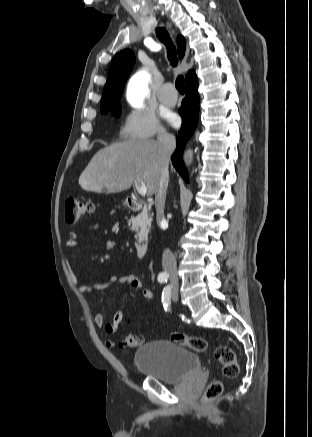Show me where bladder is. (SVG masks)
Instances as JSON below:
<instances>
[{
    "label": "bladder",
    "instance_id": "obj_1",
    "mask_svg": "<svg viewBox=\"0 0 312 437\" xmlns=\"http://www.w3.org/2000/svg\"><path fill=\"white\" fill-rule=\"evenodd\" d=\"M134 364L144 375L168 384L181 383L202 371L196 353L169 340L150 341L138 348Z\"/></svg>",
    "mask_w": 312,
    "mask_h": 437
}]
</instances>
